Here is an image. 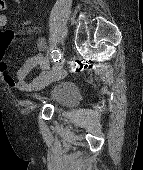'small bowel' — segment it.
Masks as SVG:
<instances>
[{
  "label": "small bowel",
  "instance_id": "obj_1",
  "mask_svg": "<svg viewBox=\"0 0 143 170\" xmlns=\"http://www.w3.org/2000/svg\"><path fill=\"white\" fill-rule=\"evenodd\" d=\"M19 2L20 0H14ZM8 17L0 13V75L4 83L11 88H18L22 91H32L43 87L47 83V77L50 62L49 59L42 53L47 48V41L45 38H39L36 46L39 51L38 54L28 58L24 64L19 68L16 76L13 77L8 73L7 63L4 59L5 47L10 45L16 38L13 31L7 30ZM39 68L41 73L31 82H27V77L33 69Z\"/></svg>",
  "mask_w": 143,
  "mask_h": 170
}]
</instances>
